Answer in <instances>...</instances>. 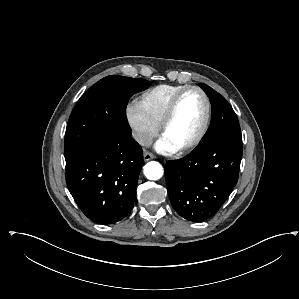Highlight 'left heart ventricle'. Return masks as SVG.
Segmentation results:
<instances>
[{"label": "left heart ventricle", "instance_id": "left-heart-ventricle-1", "mask_svg": "<svg viewBox=\"0 0 299 299\" xmlns=\"http://www.w3.org/2000/svg\"><path fill=\"white\" fill-rule=\"evenodd\" d=\"M205 111L204 100L196 91L181 98L177 111L162 137L175 147L187 143L199 130Z\"/></svg>", "mask_w": 299, "mask_h": 299}]
</instances>
